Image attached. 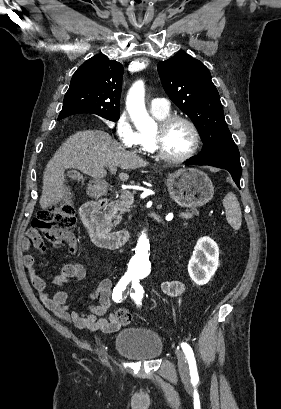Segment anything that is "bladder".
Instances as JSON below:
<instances>
[{"mask_svg": "<svg viewBox=\"0 0 281 409\" xmlns=\"http://www.w3.org/2000/svg\"><path fill=\"white\" fill-rule=\"evenodd\" d=\"M114 352L131 361H155L164 352L160 334L147 327H132L118 331L113 338Z\"/></svg>", "mask_w": 281, "mask_h": 409, "instance_id": "obj_1", "label": "bladder"}]
</instances>
